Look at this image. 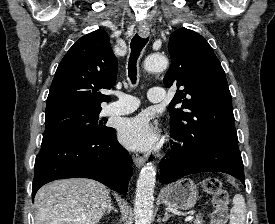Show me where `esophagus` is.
<instances>
[{"label":"esophagus","instance_id":"obj_1","mask_svg":"<svg viewBox=\"0 0 275 224\" xmlns=\"http://www.w3.org/2000/svg\"><path fill=\"white\" fill-rule=\"evenodd\" d=\"M138 32L143 38H147L150 35L149 26L146 21H141L139 23ZM133 161L137 167H141L145 162V158L139 154H134Z\"/></svg>","mask_w":275,"mask_h":224}]
</instances>
